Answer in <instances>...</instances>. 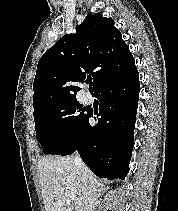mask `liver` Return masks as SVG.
I'll list each match as a JSON object with an SVG mask.
<instances>
[{
  "mask_svg": "<svg viewBox=\"0 0 178 211\" xmlns=\"http://www.w3.org/2000/svg\"><path fill=\"white\" fill-rule=\"evenodd\" d=\"M38 172L46 211H84L89 185L98 184L89 169L87 176H83L71 156L43 157L38 161ZM71 195L76 197L74 201Z\"/></svg>",
  "mask_w": 178,
  "mask_h": 211,
  "instance_id": "1",
  "label": "liver"
}]
</instances>
